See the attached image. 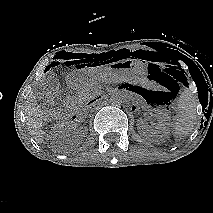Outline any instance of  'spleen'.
I'll use <instances>...</instances> for the list:
<instances>
[{"label":"spleen","mask_w":213,"mask_h":213,"mask_svg":"<svg viewBox=\"0 0 213 213\" xmlns=\"http://www.w3.org/2000/svg\"><path fill=\"white\" fill-rule=\"evenodd\" d=\"M197 100L190 90L186 89L178 100V111L173 126V136L181 139L190 134L197 120Z\"/></svg>","instance_id":"obj_1"}]
</instances>
